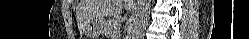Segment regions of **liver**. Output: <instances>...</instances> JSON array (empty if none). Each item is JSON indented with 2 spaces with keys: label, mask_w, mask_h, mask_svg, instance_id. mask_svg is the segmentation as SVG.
I'll return each mask as SVG.
<instances>
[{
  "label": "liver",
  "mask_w": 249,
  "mask_h": 39,
  "mask_svg": "<svg viewBox=\"0 0 249 39\" xmlns=\"http://www.w3.org/2000/svg\"><path fill=\"white\" fill-rule=\"evenodd\" d=\"M80 20L82 28L89 19L116 16L122 12L123 0H81Z\"/></svg>",
  "instance_id": "6515ba94"
}]
</instances>
